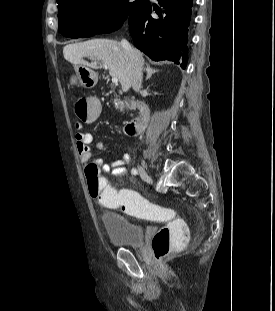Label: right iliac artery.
Segmentation results:
<instances>
[{
	"label": "right iliac artery",
	"instance_id": "right-iliac-artery-1",
	"mask_svg": "<svg viewBox=\"0 0 275 311\" xmlns=\"http://www.w3.org/2000/svg\"><path fill=\"white\" fill-rule=\"evenodd\" d=\"M131 173H132L133 175H136V174L138 173V171H137L136 168H133V169L131 170Z\"/></svg>",
	"mask_w": 275,
	"mask_h": 311
}]
</instances>
